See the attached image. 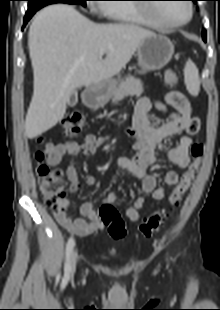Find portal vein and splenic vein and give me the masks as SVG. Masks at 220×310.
Listing matches in <instances>:
<instances>
[{
	"label": "portal vein and splenic vein",
	"mask_w": 220,
	"mask_h": 310,
	"mask_svg": "<svg viewBox=\"0 0 220 310\" xmlns=\"http://www.w3.org/2000/svg\"><path fill=\"white\" fill-rule=\"evenodd\" d=\"M104 54H105V50H104V49H101L100 52H99V55H100V56H103Z\"/></svg>",
	"instance_id": "portal-vein-and-splenic-vein-1"
}]
</instances>
